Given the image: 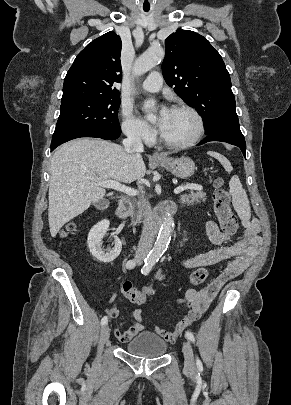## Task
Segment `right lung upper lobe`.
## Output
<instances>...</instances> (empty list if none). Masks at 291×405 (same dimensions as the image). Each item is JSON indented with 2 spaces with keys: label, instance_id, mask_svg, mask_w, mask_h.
Wrapping results in <instances>:
<instances>
[{
  "label": "right lung upper lobe",
  "instance_id": "1",
  "mask_svg": "<svg viewBox=\"0 0 291 405\" xmlns=\"http://www.w3.org/2000/svg\"><path fill=\"white\" fill-rule=\"evenodd\" d=\"M122 42L110 31L88 44L67 72L61 102L81 98L120 96L114 87L121 82Z\"/></svg>",
  "mask_w": 291,
  "mask_h": 405
}]
</instances>
